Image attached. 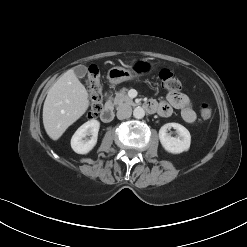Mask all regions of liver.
<instances>
[{
    "label": "liver",
    "instance_id": "1",
    "mask_svg": "<svg viewBox=\"0 0 247 247\" xmlns=\"http://www.w3.org/2000/svg\"><path fill=\"white\" fill-rule=\"evenodd\" d=\"M88 92L73 69L66 71L49 89L43 105L46 133L58 140L88 109Z\"/></svg>",
    "mask_w": 247,
    "mask_h": 247
}]
</instances>
